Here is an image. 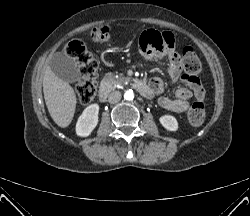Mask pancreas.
Here are the masks:
<instances>
[{
  "instance_id": "cf45deb5",
  "label": "pancreas",
  "mask_w": 250,
  "mask_h": 216,
  "mask_svg": "<svg viewBox=\"0 0 250 216\" xmlns=\"http://www.w3.org/2000/svg\"><path fill=\"white\" fill-rule=\"evenodd\" d=\"M129 80H130L129 77H125L122 75L116 77V75L114 74H108L103 78L102 83L110 90H113L116 87L121 86L124 83L128 82Z\"/></svg>"
}]
</instances>
